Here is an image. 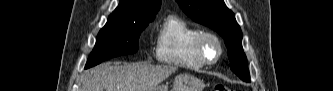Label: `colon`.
<instances>
[{
    "label": "colon",
    "mask_w": 333,
    "mask_h": 91,
    "mask_svg": "<svg viewBox=\"0 0 333 91\" xmlns=\"http://www.w3.org/2000/svg\"><path fill=\"white\" fill-rule=\"evenodd\" d=\"M214 90L215 91H228L229 89L224 84L218 83L215 85Z\"/></svg>",
    "instance_id": "5ec220e1"
}]
</instances>
